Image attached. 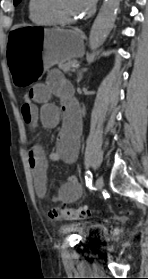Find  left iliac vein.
Returning <instances> with one entry per match:
<instances>
[{"label":"left iliac vein","mask_w":148,"mask_h":279,"mask_svg":"<svg viewBox=\"0 0 148 279\" xmlns=\"http://www.w3.org/2000/svg\"><path fill=\"white\" fill-rule=\"evenodd\" d=\"M96 188L97 190H101L103 188V178L98 176L96 179Z\"/></svg>","instance_id":"4c4485c4"}]
</instances>
